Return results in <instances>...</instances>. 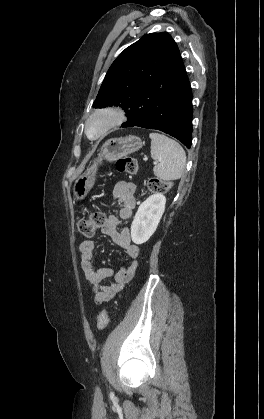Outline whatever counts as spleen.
Listing matches in <instances>:
<instances>
[{
  "label": "spleen",
  "instance_id": "1",
  "mask_svg": "<svg viewBox=\"0 0 264 419\" xmlns=\"http://www.w3.org/2000/svg\"><path fill=\"white\" fill-rule=\"evenodd\" d=\"M151 157L159 163L154 174L164 181L181 178L186 166V153L175 140L159 133H150Z\"/></svg>",
  "mask_w": 264,
  "mask_h": 419
}]
</instances>
